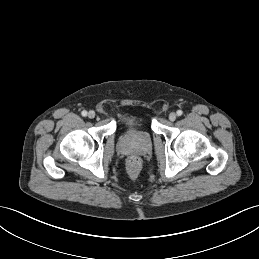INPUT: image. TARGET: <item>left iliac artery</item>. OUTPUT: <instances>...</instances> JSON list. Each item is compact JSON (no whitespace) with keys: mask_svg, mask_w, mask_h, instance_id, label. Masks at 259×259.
<instances>
[{"mask_svg":"<svg viewBox=\"0 0 259 259\" xmlns=\"http://www.w3.org/2000/svg\"><path fill=\"white\" fill-rule=\"evenodd\" d=\"M182 114H183V111H182V110H178V111H177V115H178V116H181Z\"/></svg>","mask_w":259,"mask_h":259,"instance_id":"1","label":"left iliac artery"}]
</instances>
